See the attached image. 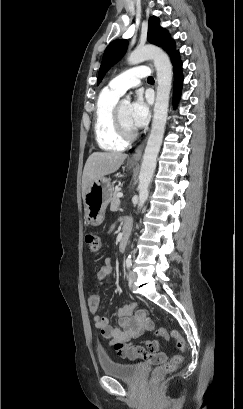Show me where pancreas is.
<instances>
[{
	"label": "pancreas",
	"mask_w": 243,
	"mask_h": 409,
	"mask_svg": "<svg viewBox=\"0 0 243 409\" xmlns=\"http://www.w3.org/2000/svg\"><path fill=\"white\" fill-rule=\"evenodd\" d=\"M118 191H114L112 194V198H111V204H110V210L111 211H117L120 207V200L118 197Z\"/></svg>",
	"instance_id": "pancreas-1"
}]
</instances>
